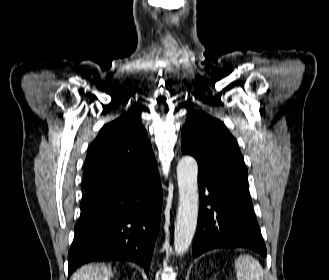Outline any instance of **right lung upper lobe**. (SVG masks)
I'll list each match as a JSON object with an SVG mask.
<instances>
[{"mask_svg": "<svg viewBox=\"0 0 329 280\" xmlns=\"http://www.w3.org/2000/svg\"><path fill=\"white\" fill-rule=\"evenodd\" d=\"M157 171L141 118L128 112L104 125L91 143L84 168L85 191L112 179H134Z\"/></svg>", "mask_w": 329, "mask_h": 280, "instance_id": "obj_1", "label": "right lung upper lobe"}]
</instances>
